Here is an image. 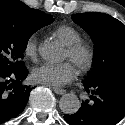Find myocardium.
Masks as SVG:
<instances>
[{"label": "myocardium", "instance_id": "myocardium-1", "mask_svg": "<svg viewBox=\"0 0 125 125\" xmlns=\"http://www.w3.org/2000/svg\"><path fill=\"white\" fill-rule=\"evenodd\" d=\"M66 51L69 57L76 61V66L80 71L88 70L93 63L94 50L87 42L79 40L66 46Z\"/></svg>", "mask_w": 125, "mask_h": 125}]
</instances>
